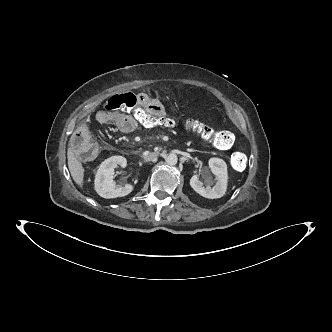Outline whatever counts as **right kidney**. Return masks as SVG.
<instances>
[{
	"mask_svg": "<svg viewBox=\"0 0 332 332\" xmlns=\"http://www.w3.org/2000/svg\"><path fill=\"white\" fill-rule=\"evenodd\" d=\"M127 160L123 156H112L101 163L95 175V190L103 198L124 197L133 190L131 184L116 185L113 181L114 169L118 166L125 167Z\"/></svg>",
	"mask_w": 332,
	"mask_h": 332,
	"instance_id": "right-kidney-1",
	"label": "right kidney"
}]
</instances>
